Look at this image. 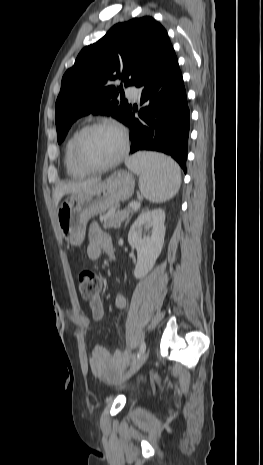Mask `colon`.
Listing matches in <instances>:
<instances>
[{
  "label": "colon",
  "mask_w": 263,
  "mask_h": 465,
  "mask_svg": "<svg viewBox=\"0 0 263 465\" xmlns=\"http://www.w3.org/2000/svg\"><path fill=\"white\" fill-rule=\"evenodd\" d=\"M78 288L83 299L91 301L99 294L102 288V279L91 270H83L78 277Z\"/></svg>",
  "instance_id": "obj_1"
}]
</instances>
